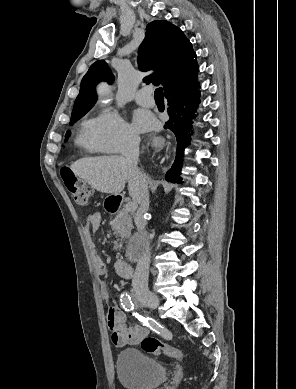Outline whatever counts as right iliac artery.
I'll return each instance as SVG.
<instances>
[{"label":"right iliac artery","instance_id":"obj_1","mask_svg":"<svg viewBox=\"0 0 296 389\" xmlns=\"http://www.w3.org/2000/svg\"><path fill=\"white\" fill-rule=\"evenodd\" d=\"M120 300H121V305L123 306V308L126 311H133V309L135 308V304L132 301V299L129 296V294L124 293L123 295H121V299Z\"/></svg>","mask_w":296,"mask_h":389}]
</instances>
